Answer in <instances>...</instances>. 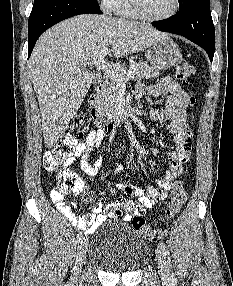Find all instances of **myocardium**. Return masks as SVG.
Listing matches in <instances>:
<instances>
[{
	"label": "myocardium",
	"mask_w": 233,
	"mask_h": 286,
	"mask_svg": "<svg viewBox=\"0 0 233 286\" xmlns=\"http://www.w3.org/2000/svg\"><path fill=\"white\" fill-rule=\"evenodd\" d=\"M129 2L137 16L149 22H163L169 20L174 17L180 9V0H174V8L169 14L162 17H152L144 11L141 0H129Z\"/></svg>",
	"instance_id": "myocardium-1"
}]
</instances>
